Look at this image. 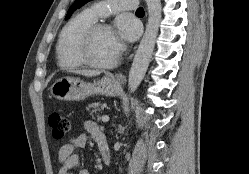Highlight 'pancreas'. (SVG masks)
<instances>
[{
	"label": "pancreas",
	"instance_id": "obj_1",
	"mask_svg": "<svg viewBox=\"0 0 249 174\" xmlns=\"http://www.w3.org/2000/svg\"><path fill=\"white\" fill-rule=\"evenodd\" d=\"M105 106L106 105L102 104L101 102H94L88 105L87 110L90 111L92 115L94 112H100L103 110Z\"/></svg>",
	"mask_w": 249,
	"mask_h": 174
}]
</instances>
